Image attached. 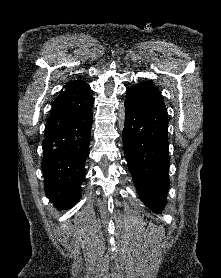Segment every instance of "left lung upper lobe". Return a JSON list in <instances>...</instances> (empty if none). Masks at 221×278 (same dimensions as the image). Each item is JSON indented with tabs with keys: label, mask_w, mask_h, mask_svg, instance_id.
Returning <instances> with one entry per match:
<instances>
[{
	"label": "left lung upper lobe",
	"mask_w": 221,
	"mask_h": 278,
	"mask_svg": "<svg viewBox=\"0 0 221 278\" xmlns=\"http://www.w3.org/2000/svg\"><path fill=\"white\" fill-rule=\"evenodd\" d=\"M125 102L144 110L165 109L158 89L150 82H141L126 92Z\"/></svg>",
	"instance_id": "obj_1"
}]
</instances>
